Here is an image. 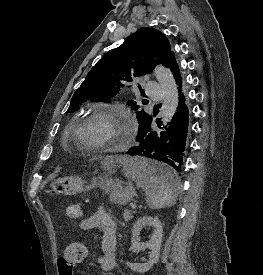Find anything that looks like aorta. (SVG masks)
Instances as JSON below:
<instances>
[{
  "label": "aorta",
  "instance_id": "aorta-1",
  "mask_svg": "<svg viewBox=\"0 0 263 275\" xmlns=\"http://www.w3.org/2000/svg\"><path fill=\"white\" fill-rule=\"evenodd\" d=\"M154 74L159 82L163 97L160 118L162 124L167 125L172 120L178 107L177 85L170 70L161 65L154 69Z\"/></svg>",
  "mask_w": 263,
  "mask_h": 275
}]
</instances>
